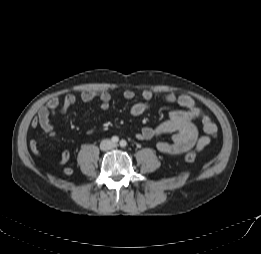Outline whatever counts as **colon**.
I'll use <instances>...</instances> for the list:
<instances>
[{"instance_id": "5ec220e1", "label": "colon", "mask_w": 261, "mask_h": 254, "mask_svg": "<svg viewBox=\"0 0 261 254\" xmlns=\"http://www.w3.org/2000/svg\"><path fill=\"white\" fill-rule=\"evenodd\" d=\"M185 160L189 163H194L197 160V155L194 151H188L185 154Z\"/></svg>"}]
</instances>
